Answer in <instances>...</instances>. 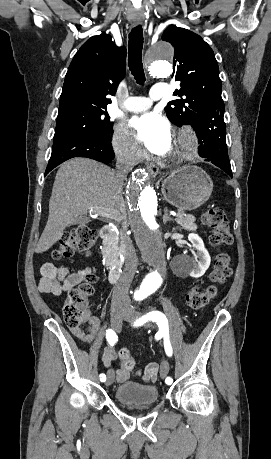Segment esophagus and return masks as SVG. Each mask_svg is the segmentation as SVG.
Here are the masks:
<instances>
[{"mask_svg": "<svg viewBox=\"0 0 271 459\" xmlns=\"http://www.w3.org/2000/svg\"><path fill=\"white\" fill-rule=\"evenodd\" d=\"M147 171H148L149 176L153 178V177H156V175L158 174L159 167L156 163L149 162L147 164Z\"/></svg>", "mask_w": 271, "mask_h": 459, "instance_id": "1", "label": "esophagus"}]
</instances>
